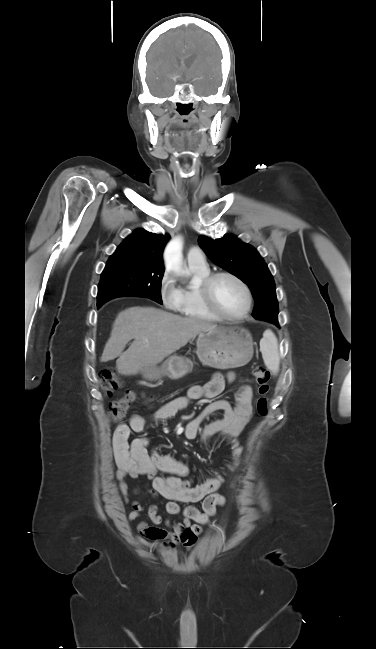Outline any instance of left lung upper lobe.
Instances as JSON below:
<instances>
[{"instance_id":"left-lung-upper-lobe-1","label":"left lung upper lobe","mask_w":376,"mask_h":649,"mask_svg":"<svg viewBox=\"0 0 376 649\" xmlns=\"http://www.w3.org/2000/svg\"><path fill=\"white\" fill-rule=\"evenodd\" d=\"M209 259L248 285L255 298L253 317L278 324L274 279L256 249L232 235L198 238Z\"/></svg>"}]
</instances>
